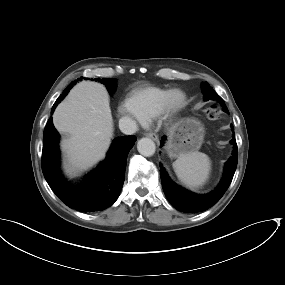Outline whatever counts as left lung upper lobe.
I'll return each mask as SVG.
<instances>
[{"mask_svg": "<svg viewBox=\"0 0 285 285\" xmlns=\"http://www.w3.org/2000/svg\"><path fill=\"white\" fill-rule=\"evenodd\" d=\"M202 88H203V93L205 95V100H210V99L219 100L222 103L223 110L225 112H228L222 98L212 89V87H210V85L207 82L202 84Z\"/></svg>", "mask_w": 285, "mask_h": 285, "instance_id": "5c2ea615", "label": "left lung upper lobe"}]
</instances>
